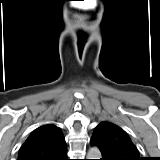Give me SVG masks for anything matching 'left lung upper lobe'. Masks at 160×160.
<instances>
[{"mask_svg": "<svg viewBox=\"0 0 160 160\" xmlns=\"http://www.w3.org/2000/svg\"><path fill=\"white\" fill-rule=\"evenodd\" d=\"M94 139L111 160H142L128 134L110 122H101L94 130Z\"/></svg>", "mask_w": 160, "mask_h": 160, "instance_id": "obj_1", "label": "left lung upper lobe"}]
</instances>
